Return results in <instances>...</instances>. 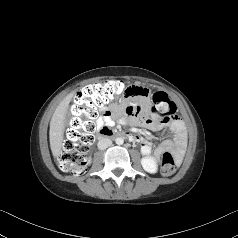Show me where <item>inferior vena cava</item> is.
I'll return each instance as SVG.
<instances>
[{
  "label": "inferior vena cava",
  "mask_w": 238,
  "mask_h": 238,
  "mask_svg": "<svg viewBox=\"0 0 238 238\" xmlns=\"http://www.w3.org/2000/svg\"><path fill=\"white\" fill-rule=\"evenodd\" d=\"M112 145V141L108 138H102L99 140L97 146L100 150H104Z\"/></svg>",
  "instance_id": "1"
}]
</instances>
